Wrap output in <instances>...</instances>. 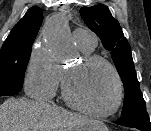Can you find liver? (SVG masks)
I'll list each match as a JSON object with an SVG mask.
<instances>
[{"instance_id": "1", "label": "liver", "mask_w": 151, "mask_h": 131, "mask_svg": "<svg viewBox=\"0 0 151 131\" xmlns=\"http://www.w3.org/2000/svg\"><path fill=\"white\" fill-rule=\"evenodd\" d=\"M89 120L46 102L9 98L0 105V131H73Z\"/></svg>"}]
</instances>
